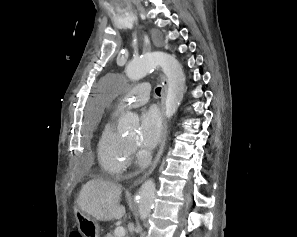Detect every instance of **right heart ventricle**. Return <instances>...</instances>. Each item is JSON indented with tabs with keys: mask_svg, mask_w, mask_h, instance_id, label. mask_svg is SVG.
Instances as JSON below:
<instances>
[{
	"mask_svg": "<svg viewBox=\"0 0 297 237\" xmlns=\"http://www.w3.org/2000/svg\"><path fill=\"white\" fill-rule=\"evenodd\" d=\"M97 158L101 169L111 176L122 174L131 162L129 142L113 126V117L104 125L98 145Z\"/></svg>",
	"mask_w": 297,
	"mask_h": 237,
	"instance_id": "1",
	"label": "right heart ventricle"
}]
</instances>
